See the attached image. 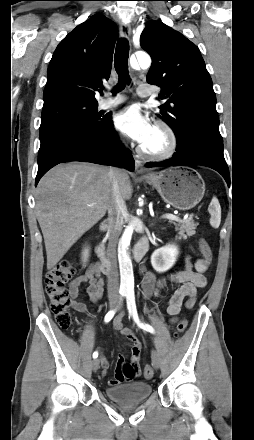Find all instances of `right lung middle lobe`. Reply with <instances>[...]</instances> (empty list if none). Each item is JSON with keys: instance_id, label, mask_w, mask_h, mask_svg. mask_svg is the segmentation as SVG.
Returning a JSON list of instances; mask_svg holds the SVG:
<instances>
[{"instance_id": "obj_1", "label": "right lung middle lobe", "mask_w": 254, "mask_h": 440, "mask_svg": "<svg viewBox=\"0 0 254 440\" xmlns=\"http://www.w3.org/2000/svg\"><path fill=\"white\" fill-rule=\"evenodd\" d=\"M100 117L97 101L60 96L45 102L41 116V145L38 155L62 139L98 131L103 124Z\"/></svg>"}]
</instances>
